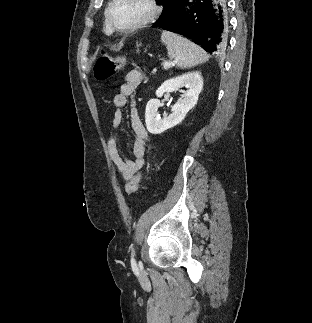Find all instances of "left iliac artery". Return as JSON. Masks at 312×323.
<instances>
[{"mask_svg":"<svg viewBox=\"0 0 312 323\" xmlns=\"http://www.w3.org/2000/svg\"><path fill=\"white\" fill-rule=\"evenodd\" d=\"M134 250H133V253H132V258H131V264H132V267H136V263H135V261H134Z\"/></svg>","mask_w":312,"mask_h":323,"instance_id":"obj_1","label":"left iliac artery"}]
</instances>
